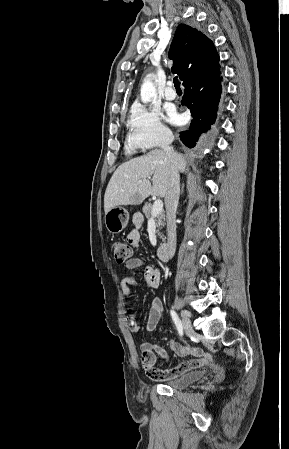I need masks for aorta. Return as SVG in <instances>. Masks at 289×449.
Returning a JSON list of instances; mask_svg holds the SVG:
<instances>
[{"instance_id": "obj_1", "label": "aorta", "mask_w": 289, "mask_h": 449, "mask_svg": "<svg viewBox=\"0 0 289 449\" xmlns=\"http://www.w3.org/2000/svg\"><path fill=\"white\" fill-rule=\"evenodd\" d=\"M155 96L156 88L150 79V75H148L141 86V101L143 103H148Z\"/></svg>"}]
</instances>
